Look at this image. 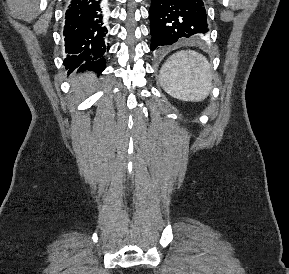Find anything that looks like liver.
<instances>
[{
    "label": "liver",
    "instance_id": "obj_1",
    "mask_svg": "<svg viewBox=\"0 0 289 274\" xmlns=\"http://www.w3.org/2000/svg\"><path fill=\"white\" fill-rule=\"evenodd\" d=\"M93 81L92 74L80 75L78 77H74L70 80L72 84L71 91L74 93L76 98H79L83 93V90L87 89Z\"/></svg>",
    "mask_w": 289,
    "mask_h": 274
}]
</instances>
